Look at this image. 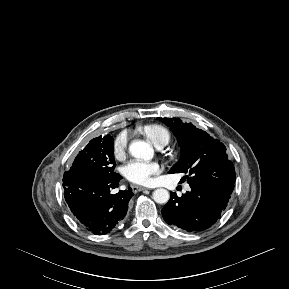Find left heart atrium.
Instances as JSON below:
<instances>
[{
	"label": "left heart atrium",
	"mask_w": 289,
	"mask_h": 289,
	"mask_svg": "<svg viewBox=\"0 0 289 289\" xmlns=\"http://www.w3.org/2000/svg\"><path fill=\"white\" fill-rule=\"evenodd\" d=\"M160 172L161 166L155 161L132 160L123 168L125 178L138 185H150Z\"/></svg>",
	"instance_id": "obj_1"
}]
</instances>
